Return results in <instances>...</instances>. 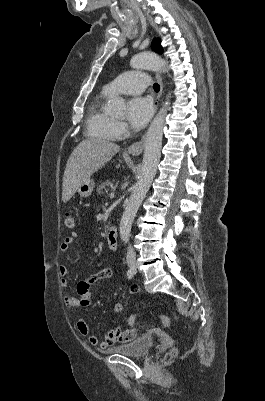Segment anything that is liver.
<instances>
[{
  "label": "liver",
  "instance_id": "obj_1",
  "mask_svg": "<svg viewBox=\"0 0 265 401\" xmlns=\"http://www.w3.org/2000/svg\"><path fill=\"white\" fill-rule=\"evenodd\" d=\"M120 146L102 138H84L71 152L63 176L62 201L68 203L79 184L119 152Z\"/></svg>",
  "mask_w": 265,
  "mask_h": 401
}]
</instances>
